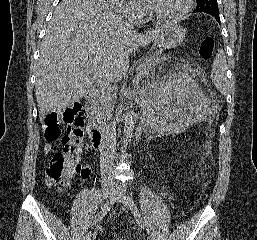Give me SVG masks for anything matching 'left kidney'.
<instances>
[{
    "label": "left kidney",
    "instance_id": "left-kidney-1",
    "mask_svg": "<svg viewBox=\"0 0 257 240\" xmlns=\"http://www.w3.org/2000/svg\"><path fill=\"white\" fill-rule=\"evenodd\" d=\"M146 105L150 124L162 134L181 133L202 120L206 112L204 95L185 74H173L151 83Z\"/></svg>",
    "mask_w": 257,
    "mask_h": 240
}]
</instances>
